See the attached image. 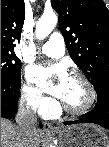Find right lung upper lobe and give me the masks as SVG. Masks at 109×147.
<instances>
[{
  "mask_svg": "<svg viewBox=\"0 0 109 147\" xmlns=\"http://www.w3.org/2000/svg\"><path fill=\"white\" fill-rule=\"evenodd\" d=\"M25 19L24 0H1V48L12 50L20 40Z\"/></svg>",
  "mask_w": 109,
  "mask_h": 147,
  "instance_id": "obj_1",
  "label": "right lung upper lobe"
}]
</instances>
